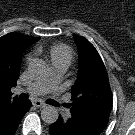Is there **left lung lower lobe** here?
<instances>
[{"instance_id": "1", "label": "left lung lower lobe", "mask_w": 135, "mask_h": 135, "mask_svg": "<svg viewBox=\"0 0 135 135\" xmlns=\"http://www.w3.org/2000/svg\"><path fill=\"white\" fill-rule=\"evenodd\" d=\"M49 132L50 135H99L100 133L82 122L72 118L64 120L61 116L50 126Z\"/></svg>"}]
</instances>
